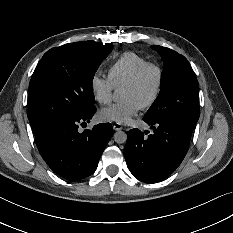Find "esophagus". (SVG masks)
Instances as JSON below:
<instances>
[{
    "instance_id": "esophagus-1",
    "label": "esophagus",
    "mask_w": 233,
    "mask_h": 233,
    "mask_svg": "<svg viewBox=\"0 0 233 233\" xmlns=\"http://www.w3.org/2000/svg\"><path fill=\"white\" fill-rule=\"evenodd\" d=\"M113 129L115 131L122 130L123 129V125L120 124V123H113Z\"/></svg>"
}]
</instances>
